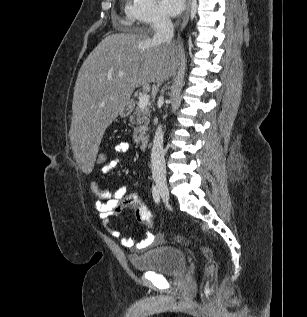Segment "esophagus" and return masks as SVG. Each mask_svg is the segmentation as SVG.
Here are the masks:
<instances>
[{"mask_svg": "<svg viewBox=\"0 0 307 317\" xmlns=\"http://www.w3.org/2000/svg\"><path fill=\"white\" fill-rule=\"evenodd\" d=\"M191 10V0L186 1V9L181 20V30L186 26Z\"/></svg>", "mask_w": 307, "mask_h": 317, "instance_id": "1", "label": "esophagus"}]
</instances>
